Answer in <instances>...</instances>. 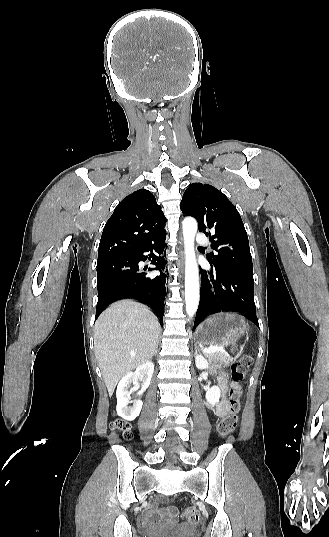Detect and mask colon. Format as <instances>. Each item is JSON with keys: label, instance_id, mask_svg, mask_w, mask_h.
Listing matches in <instances>:
<instances>
[{"label": "colon", "instance_id": "colon-1", "mask_svg": "<svg viewBox=\"0 0 329 537\" xmlns=\"http://www.w3.org/2000/svg\"><path fill=\"white\" fill-rule=\"evenodd\" d=\"M251 365V358L247 355L241 356L237 362L232 366V379L239 383L244 376L247 374ZM241 395L242 390L238 385L232 387L230 392V412L225 419H223L219 426L218 430L222 436L229 435L236 427L238 422V412L240 410L241 404ZM113 430L120 431L122 437L126 440L131 438V426L130 424L122 419H115L111 425ZM184 517L188 520L190 524H197L200 519L199 512L194 508H189L184 512Z\"/></svg>", "mask_w": 329, "mask_h": 537}]
</instances>
